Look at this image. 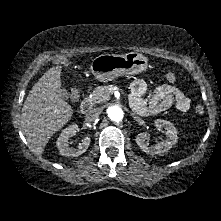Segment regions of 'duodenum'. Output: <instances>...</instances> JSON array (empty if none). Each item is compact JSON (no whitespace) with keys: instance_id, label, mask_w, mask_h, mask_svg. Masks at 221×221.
<instances>
[{"instance_id":"obj_1","label":"duodenum","mask_w":221,"mask_h":221,"mask_svg":"<svg viewBox=\"0 0 221 221\" xmlns=\"http://www.w3.org/2000/svg\"><path fill=\"white\" fill-rule=\"evenodd\" d=\"M91 107H92L91 101L86 98L82 101V103L80 105V112L82 114H86L90 111Z\"/></svg>"}]
</instances>
